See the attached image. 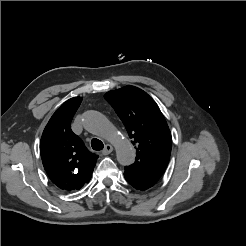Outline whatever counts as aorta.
I'll list each match as a JSON object with an SVG mask.
<instances>
[{"mask_svg":"<svg viewBox=\"0 0 246 246\" xmlns=\"http://www.w3.org/2000/svg\"><path fill=\"white\" fill-rule=\"evenodd\" d=\"M83 125L89 132L99 135L113 144L117 161L121 165H131L134 162V149L103 114L94 110L85 112Z\"/></svg>","mask_w":246,"mask_h":246,"instance_id":"762f6f07","label":"aorta"}]
</instances>
